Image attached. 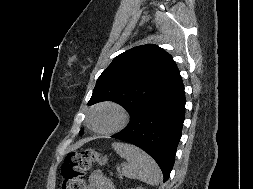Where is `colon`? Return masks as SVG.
Here are the masks:
<instances>
[{
  "label": "colon",
  "instance_id": "1",
  "mask_svg": "<svg viewBox=\"0 0 253 189\" xmlns=\"http://www.w3.org/2000/svg\"><path fill=\"white\" fill-rule=\"evenodd\" d=\"M104 163L99 153L86 149L69 153L61 168L62 189H85L86 174L94 164Z\"/></svg>",
  "mask_w": 253,
  "mask_h": 189
}]
</instances>
